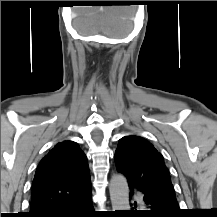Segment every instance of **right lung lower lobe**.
<instances>
[{
    "label": "right lung lower lobe",
    "mask_w": 217,
    "mask_h": 217,
    "mask_svg": "<svg viewBox=\"0 0 217 217\" xmlns=\"http://www.w3.org/2000/svg\"><path fill=\"white\" fill-rule=\"evenodd\" d=\"M94 213L91 193L84 199L64 202L51 211L38 215L37 217H95Z\"/></svg>",
    "instance_id": "98d812e1"
}]
</instances>
